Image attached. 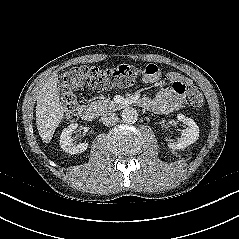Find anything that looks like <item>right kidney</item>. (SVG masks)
Wrapping results in <instances>:
<instances>
[{
	"instance_id": "right-kidney-1",
	"label": "right kidney",
	"mask_w": 239,
	"mask_h": 239,
	"mask_svg": "<svg viewBox=\"0 0 239 239\" xmlns=\"http://www.w3.org/2000/svg\"><path fill=\"white\" fill-rule=\"evenodd\" d=\"M78 128L77 123H72L66 127L60 135V147L69 154H78L84 152L88 148L87 143L73 144L71 137L73 131Z\"/></svg>"
}]
</instances>
